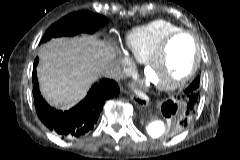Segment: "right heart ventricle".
<instances>
[{"label":"right heart ventricle","instance_id":"obj_1","mask_svg":"<svg viewBox=\"0 0 240 160\" xmlns=\"http://www.w3.org/2000/svg\"><path fill=\"white\" fill-rule=\"evenodd\" d=\"M179 30L180 27L166 20H156L136 27L125 38L128 53L137 62L144 63L166 36Z\"/></svg>","mask_w":240,"mask_h":160}]
</instances>
